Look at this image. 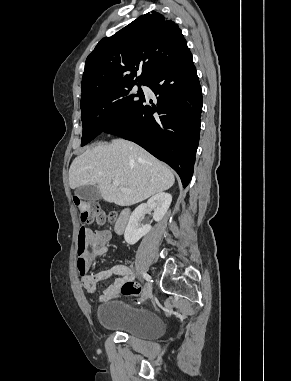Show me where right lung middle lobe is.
<instances>
[{
	"label": "right lung middle lobe",
	"instance_id": "right-lung-middle-lobe-1",
	"mask_svg": "<svg viewBox=\"0 0 291 381\" xmlns=\"http://www.w3.org/2000/svg\"><path fill=\"white\" fill-rule=\"evenodd\" d=\"M146 85V83H139ZM135 84L107 90L96 98L83 103L81 120L83 126L81 146L86 145L107 128L114 126L133 114L144 101L141 89L130 94Z\"/></svg>",
	"mask_w": 291,
	"mask_h": 381
}]
</instances>
